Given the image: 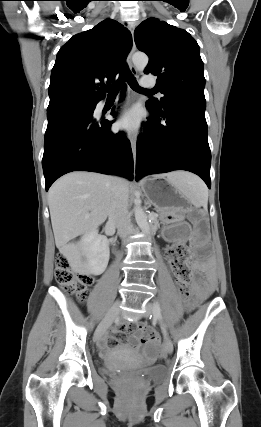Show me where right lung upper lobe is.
Listing matches in <instances>:
<instances>
[{
  "label": "right lung upper lobe",
  "instance_id": "cb5924a9",
  "mask_svg": "<svg viewBox=\"0 0 261 427\" xmlns=\"http://www.w3.org/2000/svg\"><path fill=\"white\" fill-rule=\"evenodd\" d=\"M130 31L112 19L74 35L57 53L48 89L47 110L96 105L115 80L130 49Z\"/></svg>",
  "mask_w": 261,
  "mask_h": 427
}]
</instances>
